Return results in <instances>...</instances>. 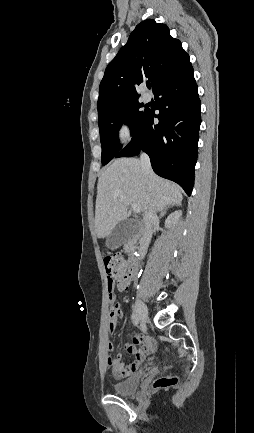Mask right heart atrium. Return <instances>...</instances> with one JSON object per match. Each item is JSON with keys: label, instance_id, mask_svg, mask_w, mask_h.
I'll return each instance as SVG.
<instances>
[{"label": "right heart atrium", "instance_id": "1", "mask_svg": "<svg viewBox=\"0 0 254 433\" xmlns=\"http://www.w3.org/2000/svg\"><path fill=\"white\" fill-rule=\"evenodd\" d=\"M116 134L121 143H130L134 138V125L132 121L128 118L121 119L117 125Z\"/></svg>", "mask_w": 254, "mask_h": 433}]
</instances>
